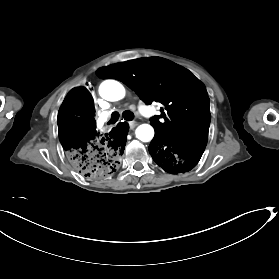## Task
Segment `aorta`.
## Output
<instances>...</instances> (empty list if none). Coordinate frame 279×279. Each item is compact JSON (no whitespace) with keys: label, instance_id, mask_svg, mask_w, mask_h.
Wrapping results in <instances>:
<instances>
[{"label":"aorta","instance_id":"1","mask_svg":"<svg viewBox=\"0 0 279 279\" xmlns=\"http://www.w3.org/2000/svg\"><path fill=\"white\" fill-rule=\"evenodd\" d=\"M100 96L107 101H118L124 98V86L112 79L105 80L99 87ZM136 137L142 142H149L154 137V129L149 124H142L137 127Z\"/></svg>","mask_w":279,"mask_h":279}]
</instances>
